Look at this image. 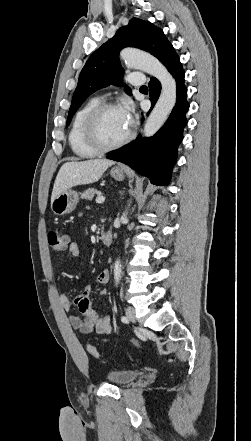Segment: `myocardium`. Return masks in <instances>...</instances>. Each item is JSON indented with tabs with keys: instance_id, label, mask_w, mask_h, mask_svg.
<instances>
[{
	"instance_id": "f54148a6",
	"label": "myocardium",
	"mask_w": 251,
	"mask_h": 441,
	"mask_svg": "<svg viewBox=\"0 0 251 441\" xmlns=\"http://www.w3.org/2000/svg\"><path fill=\"white\" fill-rule=\"evenodd\" d=\"M120 108L112 102H103L94 107L86 117L84 123V137L87 144L99 153L116 150L126 145L134 136V131L130 128L128 134L114 144H105L98 135L97 125L100 117L108 110Z\"/></svg>"
}]
</instances>
